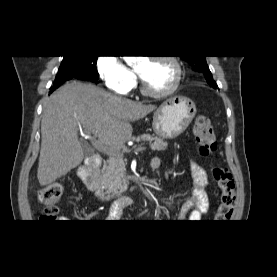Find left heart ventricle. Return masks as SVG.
Instances as JSON below:
<instances>
[{"instance_id": "left-heart-ventricle-1", "label": "left heart ventricle", "mask_w": 277, "mask_h": 277, "mask_svg": "<svg viewBox=\"0 0 277 277\" xmlns=\"http://www.w3.org/2000/svg\"><path fill=\"white\" fill-rule=\"evenodd\" d=\"M146 86L152 91L167 89L174 79V69L165 61L146 60L137 68Z\"/></svg>"}]
</instances>
